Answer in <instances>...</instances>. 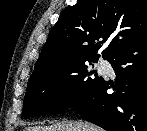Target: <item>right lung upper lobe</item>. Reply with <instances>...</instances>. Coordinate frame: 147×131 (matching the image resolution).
I'll use <instances>...</instances> for the list:
<instances>
[{
  "label": "right lung upper lobe",
  "instance_id": "1",
  "mask_svg": "<svg viewBox=\"0 0 147 131\" xmlns=\"http://www.w3.org/2000/svg\"><path fill=\"white\" fill-rule=\"evenodd\" d=\"M147 36V0H77L51 29L32 76L88 59H110ZM31 76V77H32Z\"/></svg>",
  "mask_w": 147,
  "mask_h": 131
}]
</instances>
